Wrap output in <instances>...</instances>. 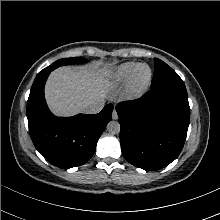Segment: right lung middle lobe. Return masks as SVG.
<instances>
[{"label": "right lung middle lobe", "mask_w": 220, "mask_h": 220, "mask_svg": "<svg viewBox=\"0 0 220 220\" xmlns=\"http://www.w3.org/2000/svg\"><path fill=\"white\" fill-rule=\"evenodd\" d=\"M87 60L84 59V58H80V57H74V58H64V59H60L56 62H54L53 64H51L49 67L47 68H57L59 66H62V65H67V64H79V63H84L86 62Z\"/></svg>", "instance_id": "1"}]
</instances>
